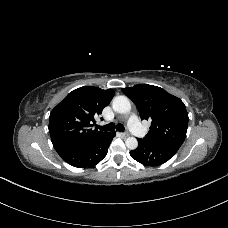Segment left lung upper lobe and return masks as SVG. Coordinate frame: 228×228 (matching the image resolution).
Masks as SVG:
<instances>
[{
	"instance_id": "5c2ea615",
	"label": "left lung upper lobe",
	"mask_w": 228,
	"mask_h": 228,
	"mask_svg": "<svg viewBox=\"0 0 228 228\" xmlns=\"http://www.w3.org/2000/svg\"><path fill=\"white\" fill-rule=\"evenodd\" d=\"M139 110L141 119L150 120L144 140L181 146L188 126V113L181 99L164 89L140 84L122 89Z\"/></svg>"
}]
</instances>
